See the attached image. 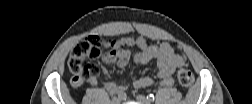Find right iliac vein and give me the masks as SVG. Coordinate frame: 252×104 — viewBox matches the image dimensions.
Returning <instances> with one entry per match:
<instances>
[{
	"label": "right iliac vein",
	"mask_w": 252,
	"mask_h": 104,
	"mask_svg": "<svg viewBox=\"0 0 252 104\" xmlns=\"http://www.w3.org/2000/svg\"><path fill=\"white\" fill-rule=\"evenodd\" d=\"M120 100L117 98L112 99V104H119Z\"/></svg>",
	"instance_id": "right-iliac-vein-1"
}]
</instances>
